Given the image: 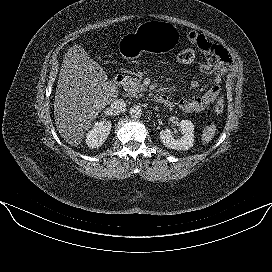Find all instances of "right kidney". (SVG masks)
I'll list each match as a JSON object with an SVG mask.
<instances>
[{
  "mask_svg": "<svg viewBox=\"0 0 272 272\" xmlns=\"http://www.w3.org/2000/svg\"><path fill=\"white\" fill-rule=\"evenodd\" d=\"M111 127L112 124L110 121L104 120L96 122L93 128L88 131L86 136V144L88 145V147L93 149L100 147L107 139Z\"/></svg>",
  "mask_w": 272,
  "mask_h": 272,
  "instance_id": "1",
  "label": "right kidney"
}]
</instances>
